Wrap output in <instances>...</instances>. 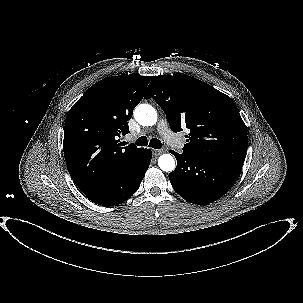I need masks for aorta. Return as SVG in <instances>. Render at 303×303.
I'll use <instances>...</instances> for the list:
<instances>
[{"label": "aorta", "mask_w": 303, "mask_h": 303, "mask_svg": "<svg viewBox=\"0 0 303 303\" xmlns=\"http://www.w3.org/2000/svg\"><path fill=\"white\" fill-rule=\"evenodd\" d=\"M136 121L143 126H152L157 122V112L149 104H140L134 110ZM158 166L165 172L175 169V160L170 154H163L158 159Z\"/></svg>", "instance_id": "1"}]
</instances>
